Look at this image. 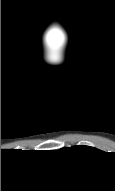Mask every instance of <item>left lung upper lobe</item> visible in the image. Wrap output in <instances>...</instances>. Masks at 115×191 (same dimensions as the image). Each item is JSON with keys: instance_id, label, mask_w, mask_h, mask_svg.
I'll return each instance as SVG.
<instances>
[{"instance_id": "left-lung-upper-lobe-1", "label": "left lung upper lobe", "mask_w": 115, "mask_h": 191, "mask_svg": "<svg viewBox=\"0 0 115 191\" xmlns=\"http://www.w3.org/2000/svg\"><path fill=\"white\" fill-rule=\"evenodd\" d=\"M65 149H70L72 151H75L77 153H80V154H88V155H92V154H95V153H100L101 150H98L94 147H90V146H73V147H70V148H65Z\"/></svg>"}]
</instances>
